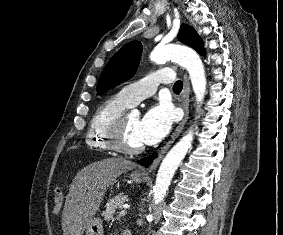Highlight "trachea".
Returning <instances> with one entry per match:
<instances>
[{
  "mask_svg": "<svg viewBox=\"0 0 283 235\" xmlns=\"http://www.w3.org/2000/svg\"><path fill=\"white\" fill-rule=\"evenodd\" d=\"M182 88H183V83L182 81L178 80L173 86V91L175 93H180Z\"/></svg>",
  "mask_w": 283,
  "mask_h": 235,
  "instance_id": "1",
  "label": "trachea"
}]
</instances>
